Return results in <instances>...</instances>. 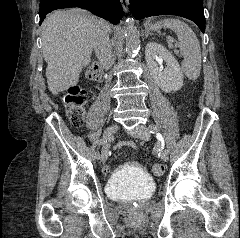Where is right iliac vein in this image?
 Instances as JSON below:
<instances>
[{"mask_svg":"<svg viewBox=\"0 0 240 238\" xmlns=\"http://www.w3.org/2000/svg\"><path fill=\"white\" fill-rule=\"evenodd\" d=\"M117 130H118V126L112 125L108 127L103 134V140H102L103 146H102V153H101L102 162H105L107 160L110 144Z\"/></svg>","mask_w":240,"mask_h":238,"instance_id":"1","label":"right iliac vein"}]
</instances>
